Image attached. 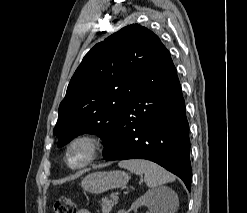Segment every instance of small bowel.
Wrapping results in <instances>:
<instances>
[{"mask_svg": "<svg viewBox=\"0 0 247 213\" xmlns=\"http://www.w3.org/2000/svg\"><path fill=\"white\" fill-rule=\"evenodd\" d=\"M76 213H91V212L89 210H87V209H80Z\"/></svg>", "mask_w": 247, "mask_h": 213, "instance_id": "c3829d8e", "label": "small bowel"}]
</instances>
